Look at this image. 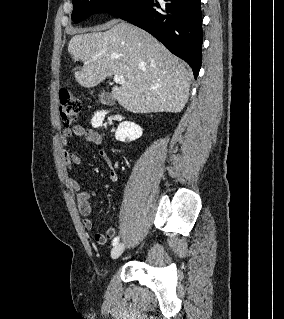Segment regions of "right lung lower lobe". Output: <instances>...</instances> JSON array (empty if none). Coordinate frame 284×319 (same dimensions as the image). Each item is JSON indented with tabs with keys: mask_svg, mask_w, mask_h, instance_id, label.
I'll list each match as a JSON object with an SVG mask.
<instances>
[{
	"mask_svg": "<svg viewBox=\"0 0 284 319\" xmlns=\"http://www.w3.org/2000/svg\"><path fill=\"white\" fill-rule=\"evenodd\" d=\"M108 14L152 34L186 61L197 78L203 41L200 0H131Z\"/></svg>",
	"mask_w": 284,
	"mask_h": 319,
	"instance_id": "1",
	"label": "right lung lower lobe"
}]
</instances>
